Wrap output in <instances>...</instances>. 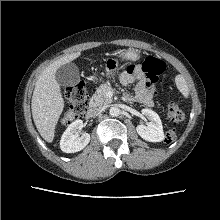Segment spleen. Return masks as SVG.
<instances>
[{"instance_id": "1", "label": "spleen", "mask_w": 220, "mask_h": 220, "mask_svg": "<svg viewBox=\"0 0 220 220\" xmlns=\"http://www.w3.org/2000/svg\"><path fill=\"white\" fill-rule=\"evenodd\" d=\"M175 82L178 90L183 94L185 98H188L189 89L184 77L182 75H177Z\"/></svg>"}]
</instances>
